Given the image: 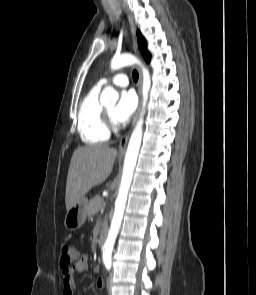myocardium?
Returning <instances> with one entry per match:
<instances>
[{
  "instance_id": "obj_1",
  "label": "myocardium",
  "mask_w": 256,
  "mask_h": 295,
  "mask_svg": "<svg viewBox=\"0 0 256 295\" xmlns=\"http://www.w3.org/2000/svg\"><path fill=\"white\" fill-rule=\"evenodd\" d=\"M103 119H104V123H105V126L108 129V131L116 130V126L114 124L113 118L110 115V113L107 111V109H105V108L103 110Z\"/></svg>"
}]
</instances>
